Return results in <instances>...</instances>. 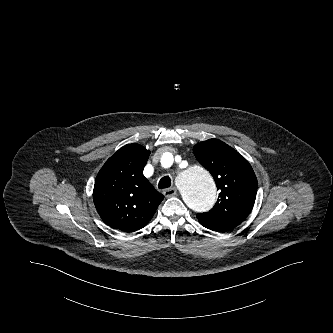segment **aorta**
<instances>
[{"label": "aorta", "instance_id": "obj_1", "mask_svg": "<svg viewBox=\"0 0 333 333\" xmlns=\"http://www.w3.org/2000/svg\"><path fill=\"white\" fill-rule=\"evenodd\" d=\"M171 155L166 153V156ZM179 191L185 204L196 212L209 211L216 201V187L210 173L189 163L178 179Z\"/></svg>", "mask_w": 333, "mask_h": 333}]
</instances>
